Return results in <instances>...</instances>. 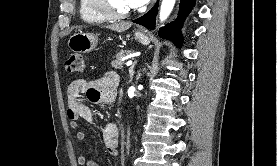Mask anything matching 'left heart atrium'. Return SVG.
I'll return each instance as SVG.
<instances>
[{"label":"left heart atrium","mask_w":277,"mask_h":166,"mask_svg":"<svg viewBox=\"0 0 277 166\" xmlns=\"http://www.w3.org/2000/svg\"><path fill=\"white\" fill-rule=\"evenodd\" d=\"M128 2L131 8H138L147 4L149 0H128Z\"/></svg>","instance_id":"obj_1"}]
</instances>
